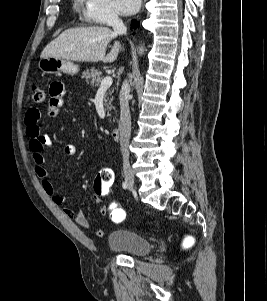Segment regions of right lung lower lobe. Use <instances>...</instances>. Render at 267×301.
I'll use <instances>...</instances> for the list:
<instances>
[{"instance_id": "obj_1", "label": "right lung lower lobe", "mask_w": 267, "mask_h": 301, "mask_svg": "<svg viewBox=\"0 0 267 301\" xmlns=\"http://www.w3.org/2000/svg\"><path fill=\"white\" fill-rule=\"evenodd\" d=\"M138 25L139 24H138V22L136 20L132 21V24H131L132 28H136Z\"/></svg>"}]
</instances>
